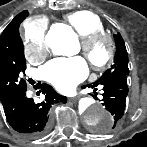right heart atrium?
<instances>
[{"label": "right heart atrium", "instance_id": "1", "mask_svg": "<svg viewBox=\"0 0 147 147\" xmlns=\"http://www.w3.org/2000/svg\"><path fill=\"white\" fill-rule=\"evenodd\" d=\"M48 23L45 18H33L26 22L24 29L25 56L33 62L41 61L47 52L45 35Z\"/></svg>", "mask_w": 147, "mask_h": 147}]
</instances>
